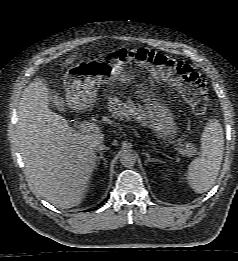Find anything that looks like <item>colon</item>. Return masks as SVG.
I'll use <instances>...</instances> for the list:
<instances>
[{
  "label": "colon",
  "instance_id": "1",
  "mask_svg": "<svg viewBox=\"0 0 238 261\" xmlns=\"http://www.w3.org/2000/svg\"><path fill=\"white\" fill-rule=\"evenodd\" d=\"M109 56L113 60L135 65L169 81L196 115L199 117L208 115L210 99L205 84L198 72L185 61L145 48H118Z\"/></svg>",
  "mask_w": 238,
  "mask_h": 261
}]
</instances>
